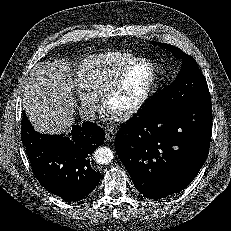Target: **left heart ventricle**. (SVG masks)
<instances>
[{
    "instance_id": "1",
    "label": "left heart ventricle",
    "mask_w": 231,
    "mask_h": 231,
    "mask_svg": "<svg viewBox=\"0 0 231 231\" xmlns=\"http://www.w3.org/2000/svg\"><path fill=\"white\" fill-rule=\"evenodd\" d=\"M150 80V67L148 65L137 67L127 77L122 88L111 98V109L120 110L131 105L145 91Z\"/></svg>"
}]
</instances>
